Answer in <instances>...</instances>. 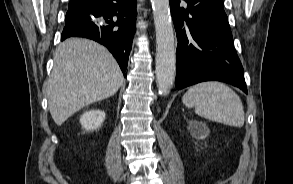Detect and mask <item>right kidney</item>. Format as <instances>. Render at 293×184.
Returning a JSON list of instances; mask_svg holds the SVG:
<instances>
[{
    "mask_svg": "<svg viewBox=\"0 0 293 184\" xmlns=\"http://www.w3.org/2000/svg\"><path fill=\"white\" fill-rule=\"evenodd\" d=\"M105 119V112L101 110L86 111L80 117L82 128L87 131H94L98 129Z\"/></svg>",
    "mask_w": 293,
    "mask_h": 184,
    "instance_id": "1",
    "label": "right kidney"
}]
</instances>
